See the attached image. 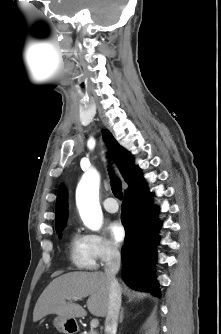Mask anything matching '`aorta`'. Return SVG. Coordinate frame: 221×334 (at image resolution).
<instances>
[{
	"mask_svg": "<svg viewBox=\"0 0 221 334\" xmlns=\"http://www.w3.org/2000/svg\"><path fill=\"white\" fill-rule=\"evenodd\" d=\"M100 176L96 171L85 173L76 189V205L84 225L92 231H99L103 214L99 203Z\"/></svg>",
	"mask_w": 221,
	"mask_h": 334,
	"instance_id": "762f6f07",
	"label": "aorta"
}]
</instances>
